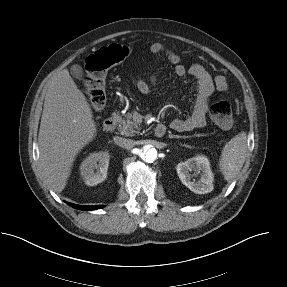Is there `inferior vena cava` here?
<instances>
[{
  "label": "inferior vena cava",
  "mask_w": 287,
  "mask_h": 287,
  "mask_svg": "<svg viewBox=\"0 0 287 287\" xmlns=\"http://www.w3.org/2000/svg\"><path fill=\"white\" fill-rule=\"evenodd\" d=\"M114 142L118 146H120V147H122L124 149H127V150H129V149L134 147V141L131 140V139H126V138H123V137L116 136V137H114Z\"/></svg>",
  "instance_id": "602c4592"
}]
</instances>
